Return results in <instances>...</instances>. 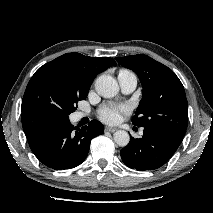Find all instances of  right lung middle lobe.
Masks as SVG:
<instances>
[{
  "label": "right lung middle lobe",
  "mask_w": 213,
  "mask_h": 213,
  "mask_svg": "<svg viewBox=\"0 0 213 213\" xmlns=\"http://www.w3.org/2000/svg\"><path fill=\"white\" fill-rule=\"evenodd\" d=\"M89 87L56 74L36 71L23 96L21 111H34L67 120L78 101L87 97Z\"/></svg>",
  "instance_id": "obj_1"
}]
</instances>
